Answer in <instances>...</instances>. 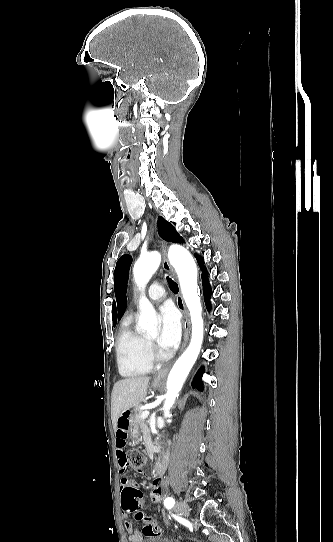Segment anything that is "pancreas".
Returning a JSON list of instances; mask_svg holds the SVG:
<instances>
[{
    "mask_svg": "<svg viewBox=\"0 0 333 542\" xmlns=\"http://www.w3.org/2000/svg\"><path fill=\"white\" fill-rule=\"evenodd\" d=\"M142 412H144V410H140V408H135L134 416H132V420H134L135 424L139 426L142 432H145V430H149V428L146 424V420H143V418H141Z\"/></svg>",
    "mask_w": 333,
    "mask_h": 542,
    "instance_id": "obj_1",
    "label": "pancreas"
}]
</instances>
